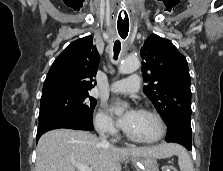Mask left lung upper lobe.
Returning <instances> with one entry per match:
<instances>
[{"label":"left lung upper lobe","mask_w":223,"mask_h":171,"mask_svg":"<svg viewBox=\"0 0 223 171\" xmlns=\"http://www.w3.org/2000/svg\"><path fill=\"white\" fill-rule=\"evenodd\" d=\"M145 95L167 126L183 123L191 127L190 75L186 58L168 39L150 35L141 48Z\"/></svg>","instance_id":"obj_1"}]
</instances>
